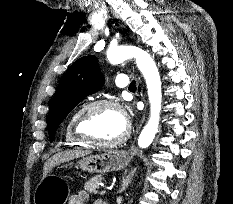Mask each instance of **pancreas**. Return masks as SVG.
<instances>
[{"mask_svg":"<svg viewBox=\"0 0 233 204\" xmlns=\"http://www.w3.org/2000/svg\"><path fill=\"white\" fill-rule=\"evenodd\" d=\"M103 180L101 175H96L91 177L88 181L84 184V190L90 193H98L100 188V182Z\"/></svg>","mask_w":233,"mask_h":204,"instance_id":"obj_1","label":"pancreas"}]
</instances>
